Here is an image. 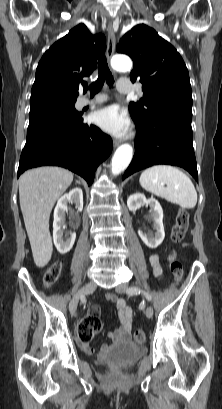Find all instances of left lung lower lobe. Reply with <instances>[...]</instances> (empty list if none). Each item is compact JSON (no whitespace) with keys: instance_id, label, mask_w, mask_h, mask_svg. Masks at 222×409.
I'll list each match as a JSON object with an SVG mask.
<instances>
[{"instance_id":"left-lung-lower-lobe-1","label":"left lung lower lobe","mask_w":222,"mask_h":409,"mask_svg":"<svg viewBox=\"0 0 222 409\" xmlns=\"http://www.w3.org/2000/svg\"><path fill=\"white\" fill-rule=\"evenodd\" d=\"M135 123V155L122 179L153 165L168 164L186 169L198 181L190 121L169 115Z\"/></svg>"}]
</instances>
